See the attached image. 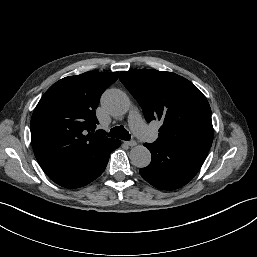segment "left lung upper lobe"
<instances>
[{
  "label": "left lung upper lobe",
  "instance_id": "5c2ea615",
  "mask_svg": "<svg viewBox=\"0 0 257 257\" xmlns=\"http://www.w3.org/2000/svg\"><path fill=\"white\" fill-rule=\"evenodd\" d=\"M119 79L141 106L147 122L162 121L155 144L211 147V108L189 80L153 69L122 71Z\"/></svg>",
  "mask_w": 257,
  "mask_h": 257
}]
</instances>
